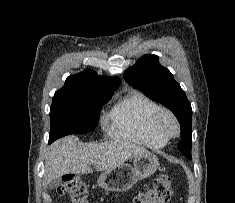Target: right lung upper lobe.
Wrapping results in <instances>:
<instances>
[{"mask_svg": "<svg viewBox=\"0 0 235 203\" xmlns=\"http://www.w3.org/2000/svg\"><path fill=\"white\" fill-rule=\"evenodd\" d=\"M120 84L118 77L107 78L98 76L93 70H85L71 75L66 79L60 90H84L99 93H112Z\"/></svg>", "mask_w": 235, "mask_h": 203, "instance_id": "right-lung-upper-lobe-1", "label": "right lung upper lobe"}]
</instances>
